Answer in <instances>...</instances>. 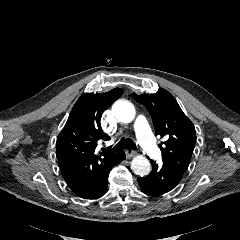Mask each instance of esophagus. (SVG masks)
I'll return each mask as SVG.
<instances>
[{
    "mask_svg": "<svg viewBox=\"0 0 240 240\" xmlns=\"http://www.w3.org/2000/svg\"><path fill=\"white\" fill-rule=\"evenodd\" d=\"M125 154H126V157H127L128 159H130V158H132L133 156L136 155V151L133 150V149H126V150H125Z\"/></svg>",
    "mask_w": 240,
    "mask_h": 240,
    "instance_id": "obj_1",
    "label": "esophagus"
}]
</instances>
